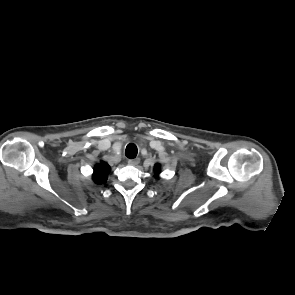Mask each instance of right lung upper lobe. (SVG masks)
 Here are the masks:
<instances>
[{"instance_id": "cb5924a9", "label": "right lung upper lobe", "mask_w": 295, "mask_h": 295, "mask_svg": "<svg viewBox=\"0 0 295 295\" xmlns=\"http://www.w3.org/2000/svg\"><path fill=\"white\" fill-rule=\"evenodd\" d=\"M110 169V166L106 162L100 161V163L96 164L94 167V173L92 175L93 181L96 184L105 183Z\"/></svg>"}]
</instances>
